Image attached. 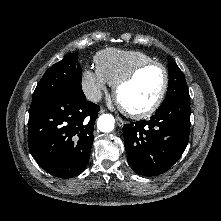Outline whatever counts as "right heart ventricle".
Returning <instances> with one entry per match:
<instances>
[{
    "label": "right heart ventricle",
    "mask_w": 221,
    "mask_h": 221,
    "mask_svg": "<svg viewBox=\"0 0 221 221\" xmlns=\"http://www.w3.org/2000/svg\"><path fill=\"white\" fill-rule=\"evenodd\" d=\"M153 61L152 57L137 50L106 49L95 56L96 71L114 86L135 66Z\"/></svg>",
    "instance_id": "e07e8e85"
}]
</instances>
